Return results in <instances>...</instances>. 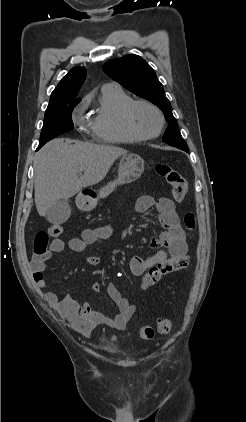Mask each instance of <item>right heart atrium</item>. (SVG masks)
I'll return each mask as SVG.
<instances>
[{"mask_svg": "<svg viewBox=\"0 0 246 422\" xmlns=\"http://www.w3.org/2000/svg\"><path fill=\"white\" fill-rule=\"evenodd\" d=\"M85 105L84 103L79 104L73 113V122L79 129L87 131L92 129V122L90 119L84 116Z\"/></svg>", "mask_w": 246, "mask_h": 422, "instance_id": "1", "label": "right heart atrium"}]
</instances>
